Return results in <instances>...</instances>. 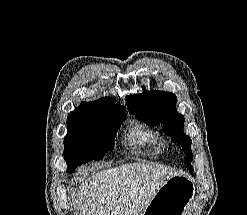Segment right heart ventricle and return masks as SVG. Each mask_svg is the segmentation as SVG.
<instances>
[{
	"label": "right heart ventricle",
	"mask_w": 247,
	"mask_h": 215,
	"mask_svg": "<svg viewBox=\"0 0 247 215\" xmlns=\"http://www.w3.org/2000/svg\"><path fill=\"white\" fill-rule=\"evenodd\" d=\"M129 138L132 144L144 147L156 142L158 136L154 130L138 126L130 133Z\"/></svg>",
	"instance_id": "1"
}]
</instances>
